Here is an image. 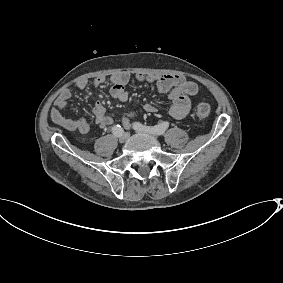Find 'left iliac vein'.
Segmentation results:
<instances>
[{
  "label": "left iliac vein",
  "instance_id": "obj_1",
  "mask_svg": "<svg viewBox=\"0 0 283 283\" xmlns=\"http://www.w3.org/2000/svg\"><path fill=\"white\" fill-rule=\"evenodd\" d=\"M133 128H134V130H136V131H137V132H139V133H143V134L151 135V136H153V137L157 138V136H156V135H152V133H149V132H146V131L139 130V129L135 128V127H133Z\"/></svg>",
  "mask_w": 283,
  "mask_h": 283
}]
</instances>
